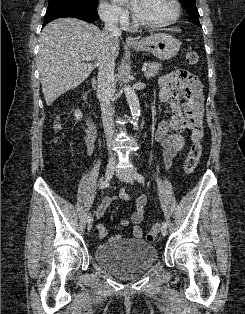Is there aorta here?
<instances>
[{
    "label": "aorta",
    "mask_w": 245,
    "mask_h": 314,
    "mask_svg": "<svg viewBox=\"0 0 245 314\" xmlns=\"http://www.w3.org/2000/svg\"><path fill=\"white\" fill-rule=\"evenodd\" d=\"M124 92L126 100L131 110V114L134 120H138L140 116V103L135 91L130 87L125 85Z\"/></svg>",
    "instance_id": "obj_1"
}]
</instances>
